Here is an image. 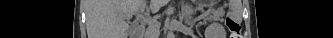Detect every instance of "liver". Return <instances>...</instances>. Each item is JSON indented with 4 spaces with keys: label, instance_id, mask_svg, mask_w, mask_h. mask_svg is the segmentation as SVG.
<instances>
[{
    "label": "liver",
    "instance_id": "1",
    "mask_svg": "<svg viewBox=\"0 0 333 38\" xmlns=\"http://www.w3.org/2000/svg\"><path fill=\"white\" fill-rule=\"evenodd\" d=\"M147 0H88L87 35L88 38H127L128 20ZM168 0H150L148 11L157 12Z\"/></svg>",
    "mask_w": 333,
    "mask_h": 38
}]
</instances>
